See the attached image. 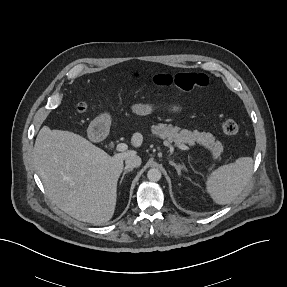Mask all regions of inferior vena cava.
<instances>
[{
  "mask_svg": "<svg viewBox=\"0 0 287 287\" xmlns=\"http://www.w3.org/2000/svg\"><path fill=\"white\" fill-rule=\"evenodd\" d=\"M127 168H135L141 165V158L136 154H132L125 159Z\"/></svg>",
  "mask_w": 287,
  "mask_h": 287,
  "instance_id": "inferior-vena-cava-1",
  "label": "inferior vena cava"
}]
</instances>
